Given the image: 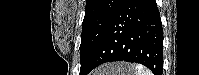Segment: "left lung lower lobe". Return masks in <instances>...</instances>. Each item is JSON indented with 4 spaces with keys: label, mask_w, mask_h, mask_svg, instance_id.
<instances>
[{
    "label": "left lung lower lobe",
    "mask_w": 199,
    "mask_h": 75,
    "mask_svg": "<svg viewBox=\"0 0 199 75\" xmlns=\"http://www.w3.org/2000/svg\"><path fill=\"white\" fill-rule=\"evenodd\" d=\"M163 29L155 0H123L109 22L87 69L112 61L136 62L163 72Z\"/></svg>",
    "instance_id": "1"
}]
</instances>
